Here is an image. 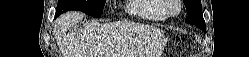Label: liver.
Masks as SVG:
<instances>
[{"mask_svg":"<svg viewBox=\"0 0 249 57\" xmlns=\"http://www.w3.org/2000/svg\"><path fill=\"white\" fill-rule=\"evenodd\" d=\"M72 11L56 21L57 39L65 57H160L162 33L156 27L128 21H91L84 29L67 32L83 19Z\"/></svg>","mask_w":249,"mask_h":57,"instance_id":"obj_1","label":"liver"}]
</instances>
